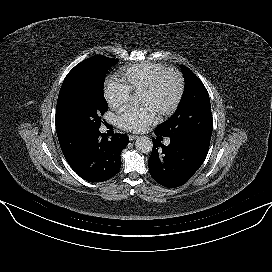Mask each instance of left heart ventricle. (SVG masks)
<instances>
[{
	"instance_id": "left-heart-ventricle-1",
	"label": "left heart ventricle",
	"mask_w": 272,
	"mask_h": 272,
	"mask_svg": "<svg viewBox=\"0 0 272 272\" xmlns=\"http://www.w3.org/2000/svg\"><path fill=\"white\" fill-rule=\"evenodd\" d=\"M178 89V77L174 73H167L153 91L141 93L139 100L142 104L152 106L160 114L173 104Z\"/></svg>"
}]
</instances>
